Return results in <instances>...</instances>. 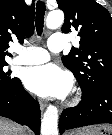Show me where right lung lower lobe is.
<instances>
[{"mask_svg":"<svg viewBox=\"0 0 112 135\" xmlns=\"http://www.w3.org/2000/svg\"><path fill=\"white\" fill-rule=\"evenodd\" d=\"M40 115L38 102L23 88L20 80L10 89L0 92V116L27 125L39 135Z\"/></svg>","mask_w":112,"mask_h":135,"instance_id":"1","label":"right lung lower lobe"}]
</instances>
